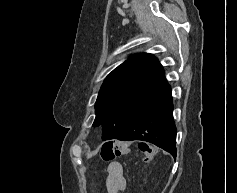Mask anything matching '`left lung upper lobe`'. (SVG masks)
Masks as SVG:
<instances>
[{"instance_id": "obj_1", "label": "left lung upper lobe", "mask_w": 237, "mask_h": 193, "mask_svg": "<svg viewBox=\"0 0 237 193\" xmlns=\"http://www.w3.org/2000/svg\"><path fill=\"white\" fill-rule=\"evenodd\" d=\"M163 75V67L156 57L141 53L126 60L107 76L95 103L93 123V126L102 125L103 140L118 137L146 91Z\"/></svg>"}]
</instances>
